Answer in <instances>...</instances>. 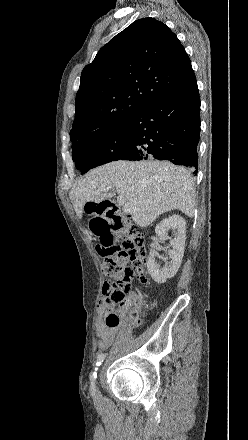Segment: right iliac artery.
I'll list each match as a JSON object with an SVG mask.
<instances>
[{
	"mask_svg": "<svg viewBox=\"0 0 248 440\" xmlns=\"http://www.w3.org/2000/svg\"><path fill=\"white\" fill-rule=\"evenodd\" d=\"M105 357H106L105 353H99L98 354L97 362H96V366L97 367L100 366L101 362L104 361ZM97 367L95 368V370L98 369ZM96 377H97L96 371L92 372L91 375H90V379H91L92 383L95 381Z\"/></svg>",
	"mask_w": 248,
	"mask_h": 440,
	"instance_id": "1",
	"label": "right iliac artery"
}]
</instances>
